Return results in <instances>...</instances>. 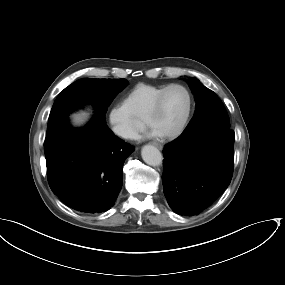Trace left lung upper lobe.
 <instances>
[{
  "mask_svg": "<svg viewBox=\"0 0 285 285\" xmlns=\"http://www.w3.org/2000/svg\"><path fill=\"white\" fill-rule=\"evenodd\" d=\"M187 83L194 94L196 109L184 132L204 125H217L230 128L226 109L219 97L196 78H189Z\"/></svg>",
  "mask_w": 285,
  "mask_h": 285,
  "instance_id": "5c2ea615",
  "label": "left lung upper lobe"
}]
</instances>
